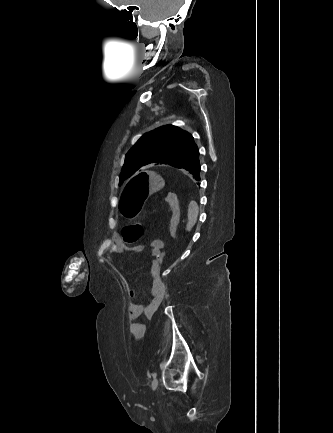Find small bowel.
<instances>
[{"mask_svg":"<svg viewBox=\"0 0 333 433\" xmlns=\"http://www.w3.org/2000/svg\"><path fill=\"white\" fill-rule=\"evenodd\" d=\"M124 249L136 253L141 252L143 246L126 247L119 243H114L109 248L108 258L113 259ZM150 249L152 254L151 271L154 276L150 294L147 298L143 299L135 289H131L130 300L127 306V317L131 321L129 330L136 339L142 338L146 329L145 324L137 320L141 317L151 319L156 314L166 295V284L160 276L161 266L165 257V244L160 239H154L150 242Z\"/></svg>","mask_w":333,"mask_h":433,"instance_id":"1","label":"small bowel"}]
</instances>
